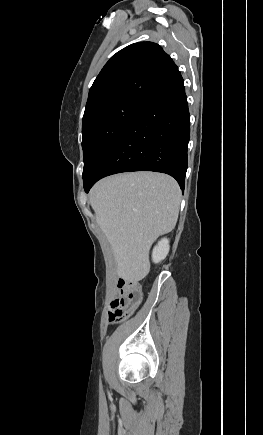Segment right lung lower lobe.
<instances>
[{
	"mask_svg": "<svg viewBox=\"0 0 263 435\" xmlns=\"http://www.w3.org/2000/svg\"><path fill=\"white\" fill-rule=\"evenodd\" d=\"M190 115L181 74L143 103L91 178L120 172L155 171L174 177L184 189Z\"/></svg>",
	"mask_w": 263,
	"mask_h": 435,
	"instance_id": "1",
	"label": "right lung lower lobe"
}]
</instances>
